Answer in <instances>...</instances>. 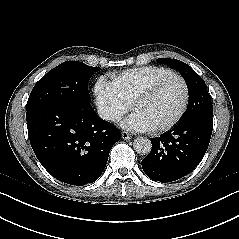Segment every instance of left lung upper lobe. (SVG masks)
<instances>
[{
  "label": "left lung upper lobe",
  "mask_w": 239,
  "mask_h": 239,
  "mask_svg": "<svg viewBox=\"0 0 239 239\" xmlns=\"http://www.w3.org/2000/svg\"><path fill=\"white\" fill-rule=\"evenodd\" d=\"M160 63H166L176 68L186 81L189 91L187 110L181 122L189 121L200 115L213 116V106L204 80L187 64L176 59H158Z\"/></svg>",
  "instance_id": "obj_1"
}]
</instances>
